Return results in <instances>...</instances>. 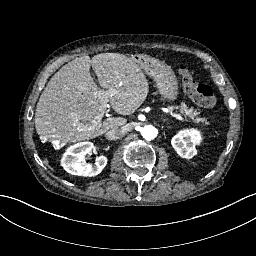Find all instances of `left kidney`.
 <instances>
[{"label":"left kidney","instance_id":"left-kidney-1","mask_svg":"<svg viewBox=\"0 0 256 256\" xmlns=\"http://www.w3.org/2000/svg\"><path fill=\"white\" fill-rule=\"evenodd\" d=\"M202 134L198 129L190 128L180 130L171 140V145L177 154L186 159L197 155L196 145H200Z\"/></svg>","mask_w":256,"mask_h":256}]
</instances>
